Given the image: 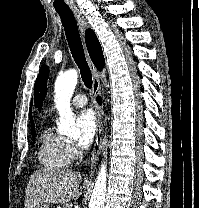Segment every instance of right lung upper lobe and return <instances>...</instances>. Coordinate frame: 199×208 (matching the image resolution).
<instances>
[{"label":"right lung upper lobe","instance_id":"right-lung-upper-lobe-1","mask_svg":"<svg viewBox=\"0 0 199 208\" xmlns=\"http://www.w3.org/2000/svg\"><path fill=\"white\" fill-rule=\"evenodd\" d=\"M85 41H86L89 55L95 65V67L99 70L103 69V67L105 65V60H104L102 48H101V45H100L95 33L91 29L86 30ZM30 121H31L32 130H34V122L32 120L31 107H30Z\"/></svg>","mask_w":199,"mask_h":208}]
</instances>
